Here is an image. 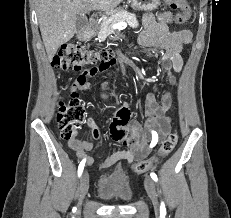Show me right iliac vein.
Instances as JSON below:
<instances>
[{
	"mask_svg": "<svg viewBox=\"0 0 231 218\" xmlns=\"http://www.w3.org/2000/svg\"><path fill=\"white\" fill-rule=\"evenodd\" d=\"M89 188V175L87 171H84L79 186V206H81L84 197L86 196Z\"/></svg>",
	"mask_w": 231,
	"mask_h": 218,
	"instance_id": "1",
	"label": "right iliac vein"
}]
</instances>
